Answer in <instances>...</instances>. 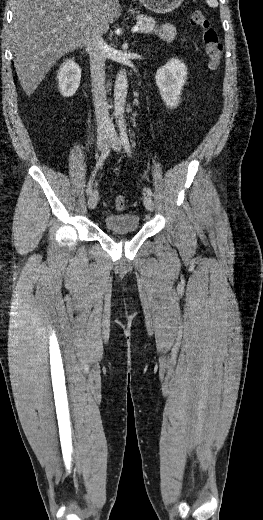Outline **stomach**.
Segmentation results:
<instances>
[{"instance_id": "stomach-1", "label": "stomach", "mask_w": 263, "mask_h": 520, "mask_svg": "<svg viewBox=\"0 0 263 520\" xmlns=\"http://www.w3.org/2000/svg\"><path fill=\"white\" fill-rule=\"evenodd\" d=\"M140 3L148 10L158 13L165 14L170 13L177 9L183 0H139Z\"/></svg>"}]
</instances>
